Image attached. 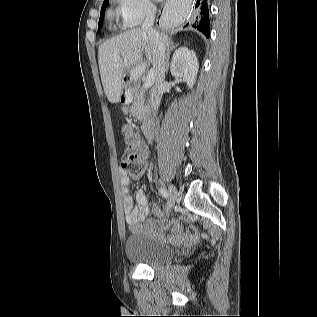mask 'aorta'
Listing matches in <instances>:
<instances>
[{
  "mask_svg": "<svg viewBox=\"0 0 317 317\" xmlns=\"http://www.w3.org/2000/svg\"><path fill=\"white\" fill-rule=\"evenodd\" d=\"M180 22V17L176 14H172L167 18L166 24L168 26H174L177 25Z\"/></svg>",
  "mask_w": 317,
  "mask_h": 317,
  "instance_id": "762f6f07",
  "label": "aorta"
}]
</instances>
